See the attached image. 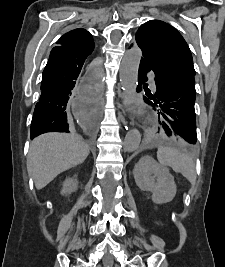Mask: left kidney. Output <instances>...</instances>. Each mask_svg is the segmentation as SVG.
<instances>
[{
	"label": "left kidney",
	"mask_w": 225,
	"mask_h": 267,
	"mask_svg": "<svg viewBox=\"0 0 225 267\" xmlns=\"http://www.w3.org/2000/svg\"><path fill=\"white\" fill-rule=\"evenodd\" d=\"M137 186L152 192V201L163 204L173 200L177 187L169 169L158 164L152 157L145 156L135 165L133 171Z\"/></svg>",
	"instance_id": "left-kidney-1"
}]
</instances>
